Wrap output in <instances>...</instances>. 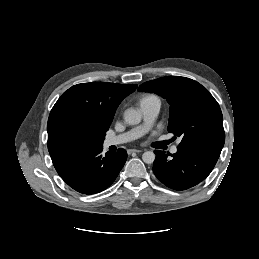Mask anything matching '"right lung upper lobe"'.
Listing matches in <instances>:
<instances>
[{
  "mask_svg": "<svg viewBox=\"0 0 259 259\" xmlns=\"http://www.w3.org/2000/svg\"><path fill=\"white\" fill-rule=\"evenodd\" d=\"M137 85L107 82L77 84L65 91L53 106L47 124L49 153L73 149L69 131L82 124L106 135L121 101Z\"/></svg>",
  "mask_w": 259,
  "mask_h": 259,
  "instance_id": "right-lung-upper-lobe-1",
  "label": "right lung upper lobe"
}]
</instances>
